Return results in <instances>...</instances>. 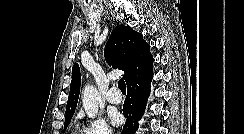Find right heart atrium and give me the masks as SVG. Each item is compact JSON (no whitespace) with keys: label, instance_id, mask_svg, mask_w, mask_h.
Wrapping results in <instances>:
<instances>
[{"label":"right heart atrium","instance_id":"obj_1","mask_svg":"<svg viewBox=\"0 0 244 134\" xmlns=\"http://www.w3.org/2000/svg\"><path fill=\"white\" fill-rule=\"evenodd\" d=\"M83 134H114L111 127L103 118L90 120L84 127Z\"/></svg>","mask_w":244,"mask_h":134}]
</instances>
